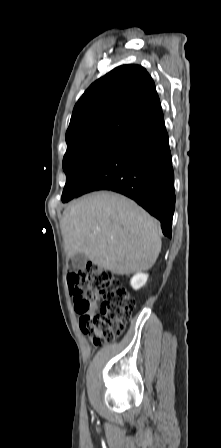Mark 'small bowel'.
I'll return each mask as SVG.
<instances>
[{"instance_id": "1", "label": "small bowel", "mask_w": 221, "mask_h": 448, "mask_svg": "<svg viewBox=\"0 0 221 448\" xmlns=\"http://www.w3.org/2000/svg\"><path fill=\"white\" fill-rule=\"evenodd\" d=\"M96 309H97V307H96V305H94V306L92 307V311H96Z\"/></svg>"}]
</instances>
